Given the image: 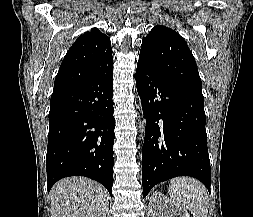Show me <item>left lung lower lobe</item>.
<instances>
[{"mask_svg":"<svg viewBox=\"0 0 253 217\" xmlns=\"http://www.w3.org/2000/svg\"><path fill=\"white\" fill-rule=\"evenodd\" d=\"M136 83L146 118L143 197L156 184L177 176L194 177L210 191L202 93L161 77L141 61L137 63Z\"/></svg>","mask_w":253,"mask_h":217,"instance_id":"left-lung-lower-lobe-1","label":"left lung lower lobe"}]
</instances>
